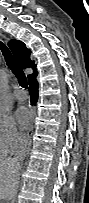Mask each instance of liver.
Returning a JSON list of instances; mask_svg holds the SVG:
<instances>
[{"instance_id":"obj_1","label":"liver","mask_w":89,"mask_h":203,"mask_svg":"<svg viewBox=\"0 0 89 203\" xmlns=\"http://www.w3.org/2000/svg\"><path fill=\"white\" fill-rule=\"evenodd\" d=\"M20 164L15 158L4 157L0 159V198H9L13 194L18 179Z\"/></svg>"}]
</instances>
